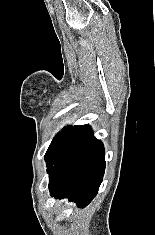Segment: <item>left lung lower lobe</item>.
<instances>
[{"mask_svg":"<svg viewBox=\"0 0 155 235\" xmlns=\"http://www.w3.org/2000/svg\"><path fill=\"white\" fill-rule=\"evenodd\" d=\"M52 196L80 207L96 196L105 170L103 144L89 125L78 126L46 159Z\"/></svg>","mask_w":155,"mask_h":235,"instance_id":"1","label":"left lung lower lobe"}]
</instances>
